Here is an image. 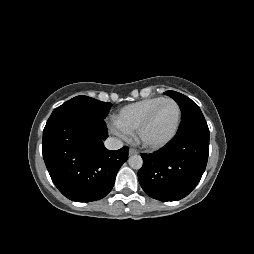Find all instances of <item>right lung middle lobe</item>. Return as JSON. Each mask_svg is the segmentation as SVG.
<instances>
[{
	"label": "right lung middle lobe",
	"mask_w": 254,
	"mask_h": 254,
	"mask_svg": "<svg viewBox=\"0 0 254 254\" xmlns=\"http://www.w3.org/2000/svg\"><path fill=\"white\" fill-rule=\"evenodd\" d=\"M110 108L111 103L109 102H101L99 100L81 95L74 97L69 101L63 103L61 106L55 108L52 114L62 111H75L78 113L105 119Z\"/></svg>",
	"instance_id": "obj_1"
}]
</instances>
